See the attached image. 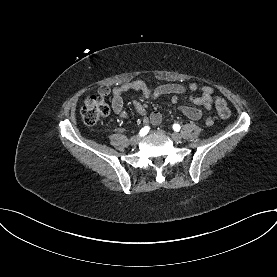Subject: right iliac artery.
Here are the masks:
<instances>
[{
	"mask_svg": "<svg viewBox=\"0 0 277 277\" xmlns=\"http://www.w3.org/2000/svg\"><path fill=\"white\" fill-rule=\"evenodd\" d=\"M149 132V127L145 126L140 130V136H145Z\"/></svg>",
	"mask_w": 277,
	"mask_h": 277,
	"instance_id": "1",
	"label": "right iliac artery"
}]
</instances>
